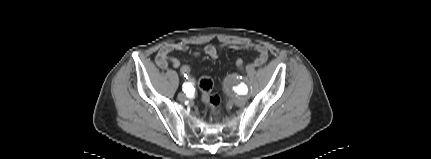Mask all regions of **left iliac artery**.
<instances>
[{
    "label": "left iliac artery",
    "instance_id": "obj_1",
    "mask_svg": "<svg viewBox=\"0 0 431 159\" xmlns=\"http://www.w3.org/2000/svg\"><path fill=\"white\" fill-rule=\"evenodd\" d=\"M239 88H240V93L241 94H246L247 93V87H246V85H244V84H241L240 86H239Z\"/></svg>",
    "mask_w": 431,
    "mask_h": 159
}]
</instances>
